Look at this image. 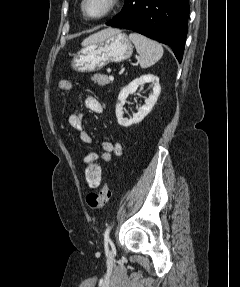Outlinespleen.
<instances>
[{"instance_id": "1", "label": "spleen", "mask_w": 240, "mask_h": 287, "mask_svg": "<svg viewBox=\"0 0 240 287\" xmlns=\"http://www.w3.org/2000/svg\"><path fill=\"white\" fill-rule=\"evenodd\" d=\"M129 39L134 43L140 55V66L148 68L154 65L163 56V47L158 42L139 33H130Z\"/></svg>"}]
</instances>
